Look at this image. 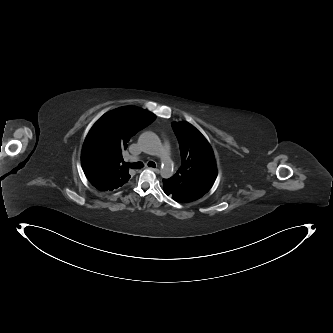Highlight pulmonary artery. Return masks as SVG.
Here are the masks:
<instances>
[{"mask_svg":"<svg viewBox=\"0 0 333 333\" xmlns=\"http://www.w3.org/2000/svg\"><path fill=\"white\" fill-rule=\"evenodd\" d=\"M160 152H161L164 156H166V157L169 156V154H170V146H169L168 142H165V143L163 144V146H162Z\"/></svg>","mask_w":333,"mask_h":333,"instance_id":"e3ab8cb5","label":"pulmonary artery"}]
</instances>
